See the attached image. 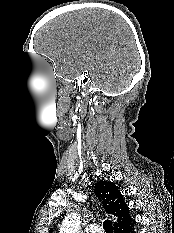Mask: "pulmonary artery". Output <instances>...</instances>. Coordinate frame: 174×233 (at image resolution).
Segmentation results:
<instances>
[{"instance_id":"pulmonary-artery-1","label":"pulmonary artery","mask_w":174,"mask_h":233,"mask_svg":"<svg viewBox=\"0 0 174 233\" xmlns=\"http://www.w3.org/2000/svg\"><path fill=\"white\" fill-rule=\"evenodd\" d=\"M85 233H104V230L98 224H90L85 228Z\"/></svg>"}]
</instances>
